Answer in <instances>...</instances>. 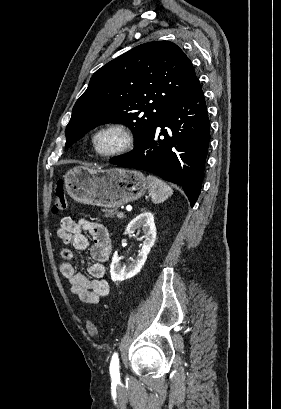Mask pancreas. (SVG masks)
Here are the masks:
<instances>
[{"mask_svg": "<svg viewBox=\"0 0 281 409\" xmlns=\"http://www.w3.org/2000/svg\"><path fill=\"white\" fill-rule=\"evenodd\" d=\"M104 213H106L105 217H114V215H117V217L119 216L118 211H116V209H110V211H104Z\"/></svg>", "mask_w": 281, "mask_h": 409, "instance_id": "obj_1", "label": "pancreas"}]
</instances>
